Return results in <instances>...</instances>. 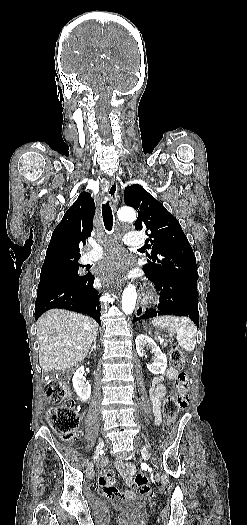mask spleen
Here are the masks:
<instances>
[{"label": "spleen", "instance_id": "3e777b00", "mask_svg": "<svg viewBox=\"0 0 247 525\" xmlns=\"http://www.w3.org/2000/svg\"><path fill=\"white\" fill-rule=\"evenodd\" d=\"M153 325H159L161 329L165 327H171V333H176V341L184 351H194L196 345V333L197 329L188 317H170V315H164V317H154L152 321Z\"/></svg>", "mask_w": 247, "mask_h": 525}]
</instances>
